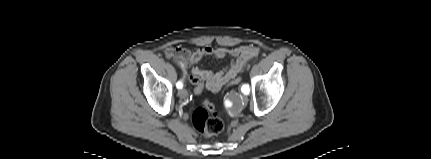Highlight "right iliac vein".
I'll return each mask as SVG.
<instances>
[{
	"instance_id": "right-iliac-vein-1",
	"label": "right iliac vein",
	"mask_w": 431,
	"mask_h": 159,
	"mask_svg": "<svg viewBox=\"0 0 431 159\" xmlns=\"http://www.w3.org/2000/svg\"><path fill=\"white\" fill-rule=\"evenodd\" d=\"M187 95H188V92H187V90L185 88L180 89L179 92H178V96L180 98H185V97H187Z\"/></svg>"
}]
</instances>
